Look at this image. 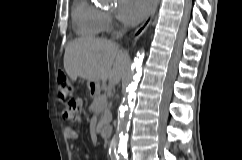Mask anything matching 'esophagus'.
Instances as JSON below:
<instances>
[{
    "mask_svg": "<svg viewBox=\"0 0 242 160\" xmlns=\"http://www.w3.org/2000/svg\"><path fill=\"white\" fill-rule=\"evenodd\" d=\"M157 4H158V0H153L152 8H151L149 15L146 17L144 22L134 31V33L132 35V40L134 42L146 31V29L150 25V23L154 17V14L156 12Z\"/></svg>",
    "mask_w": 242,
    "mask_h": 160,
    "instance_id": "esophagus-1",
    "label": "esophagus"
}]
</instances>
